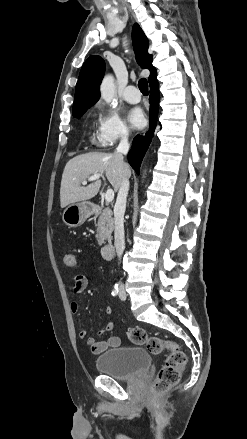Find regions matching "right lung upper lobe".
Returning <instances> with one entry per match:
<instances>
[{"instance_id":"cb5924a9","label":"right lung upper lobe","mask_w":247,"mask_h":439,"mask_svg":"<svg viewBox=\"0 0 247 439\" xmlns=\"http://www.w3.org/2000/svg\"><path fill=\"white\" fill-rule=\"evenodd\" d=\"M136 60L142 68L150 70L149 84L157 81V72L152 65V55L148 53V39L138 24L132 31ZM105 72V63L100 56H90L83 64L75 90L73 114L87 110L99 99V86Z\"/></svg>"}]
</instances>
